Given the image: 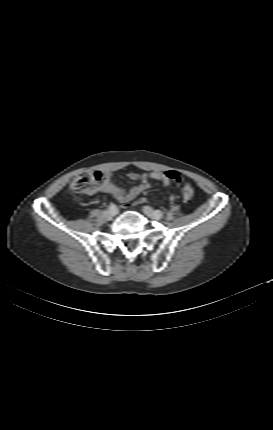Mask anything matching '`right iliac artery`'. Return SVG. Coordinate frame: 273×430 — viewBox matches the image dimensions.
<instances>
[{
	"instance_id": "right-iliac-artery-1",
	"label": "right iliac artery",
	"mask_w": 273,
	"mask_h": 430,
	"mask_svg": "<svg viewBox=\"0 0 273 430\" xmlns=\"http://www.w3.org/2000/svg\"><path fill=\"white\" fill-rule=\"evenodd\" d=\"M115 208H116V205L113 204V203H111L110 206H109V209H115Z\"/></svg>"
}]
</instances>
